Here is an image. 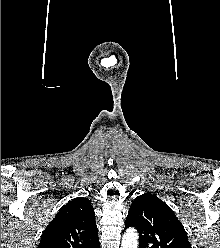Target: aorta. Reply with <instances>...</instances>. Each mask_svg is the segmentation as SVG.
Instances as JSON below:
<instances>
[{"instance_id": "aorta-1", "label": "aorta", "mask_w": 220, "mask_h": 248, "mask_svg": "<svg viewBox=\"0 0 220 248\" xmlns=\"http://www.w3.org/2000/svg\"><path fill=\"white\" fill-rule=\"evenodd\" d=\"M138 247V233L134 228H129L125 231L122 237L121 248H137Z\"/></svg>"}]
</instances>
